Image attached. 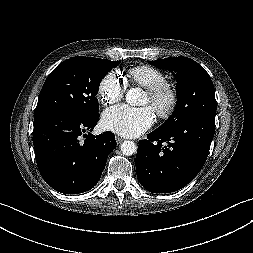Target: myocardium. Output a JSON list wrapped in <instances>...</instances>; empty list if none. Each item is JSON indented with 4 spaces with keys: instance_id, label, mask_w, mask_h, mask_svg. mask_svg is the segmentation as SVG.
I'll return each mask as SVG.
<instances>
[{
    "instance_id": "f54148a6",
    "label": "myocardium",
    "mask_w": 253,
    "mask_h": 253,
    "mask_svg": "<svg viewBox=\"0 0 253 253\" xmlns=\"http://www.w3.org/2000/svg\"><path fill=\"white\" fill-rule=\"evenodd\" d=\"M146 92L159 118L168 119L173 115L178 105V93L170 82L163 80L146 88Z\"/></svg>"
}]
</instances>
